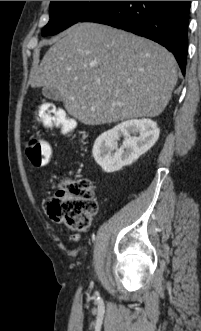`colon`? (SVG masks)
I'll return each mask as SVG.
<instances>
[{
    "mask_svg": "<svg viewBox=\"0 0 201 331\" xmlns=\"http://www.w3.org/2000/svg\"><path fill=\"white\" fill-rule=\"evenodd\" d=\"M38 120L46 127L59 128L63 133H70L75 127L74 121L51 103L39 108ZM25 152L30 162L38 167L47 165L52 157L51 145L38 137L28 139ZM45 208L54 221L73 231H84L97 211L94 186L88 179L65 182L46 199Z\"/></svg>",
    "mask_w": 201,
    "mask_h": 331,
    "instance_id": "obj_1",
    "label": "colon"
}]
</instances>
